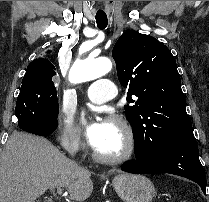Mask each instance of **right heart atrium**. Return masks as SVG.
<instances>
[{
  "mask_svg": "<svg viewBox=\"0 0 209 202\" xmlns=\"http://www.w3.org/2000/svg\"><path fill=\"white\" fill-rule=\"evenodd\" d=\"M55 135L62 147L69 153H78L83 146L79 133L71 123H59L55 129ZM66 165L69 174L76 175V165L71 161H68Z\"/></svg>",
  "mask_w": 209,
  "mask_h": 202,
  "instance_id": "d8ad5b80",
  "label": "right heart atrium"
}]
</instances>
